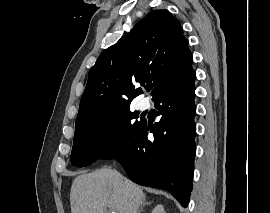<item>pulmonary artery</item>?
<instances>
[{
	"label": "pulmonary artery",
	"instance_id": "1",
	"mask_svg": "<svg viewBox=\"0 0 270 213\" xmlns=\"http://www.w3.org/2000/svg\"><path fill=\"white\" fill-rule=\"evenodd\" d=\"M139 109L144 110L147 107V104L145 102L139 103Z\"/></svg>",
	"mask_w": 270,
	"mask_h": 213
}]
</instances>
